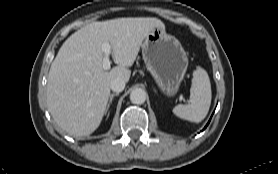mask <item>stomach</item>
<instances>
[{
	"instance_id": "0dacf381",
	"label": "stomach",
	"mask_w": 278,
	"mask_h": 174,
	"mask_svg": "<svg viewBox=\"0 0 278 174\" xmlns=\"http://www.w3.org/2000/svg\"><path fill=\"white\" fill-rule=\"evenodd\" d=\"M142 55L160 90L168 96L175 95L188 67V57L179 40L165 27H156L143 41Z\"/></svg>"
}]
</instances>
